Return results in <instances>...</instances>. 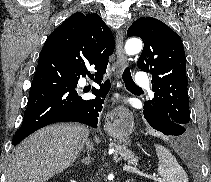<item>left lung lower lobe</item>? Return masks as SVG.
<instances>
[{
  "label": "left lung lower lobe",
  "mask_w": 211,
  "mask_h": 182,
  "mask_svg": "<svg viewBox=\"0 0 211 182\" xmlns=\"http://www.w3.org/2000/svg\"><path fill=\"white\" fill-rule=\"evenodd\" d=\"M153 125L155 126H152L154 129L162 132L165 135H181L179 137V142L184 146H188L190 144L191 139L187 127L172 121L167 116L160 117Z\"/></svg>",
  "instance_id": "1"
}]
</instances>
